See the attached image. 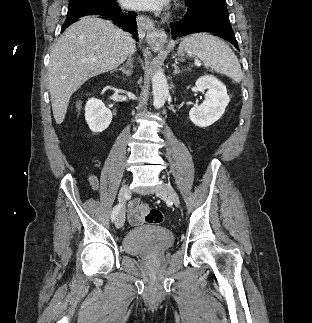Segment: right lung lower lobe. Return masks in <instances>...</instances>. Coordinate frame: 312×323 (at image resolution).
<instances>
[{
    "instance_id": "right-lung-lower-lobe-1",
    "label": "right lung lower lobe",
    "mask_w": 312,
    "mask_h": 323,
    "mask_svg": "<svg viewBox=\"0 0 312 323\" xmlns=\"http://www.w3.org/2000/svg\"><path fill=\"white\" fill-rule=\"evenodd\" d=\"M87 15H100L103 19H109L123 30L130 32L138 40L137 23L135 12H122L121 8L116 4L112 6L92 7L67 14L65 23L62 25L61 32L70 24L76 22L78 18Z\"/></svg>"
}]
</instances>
